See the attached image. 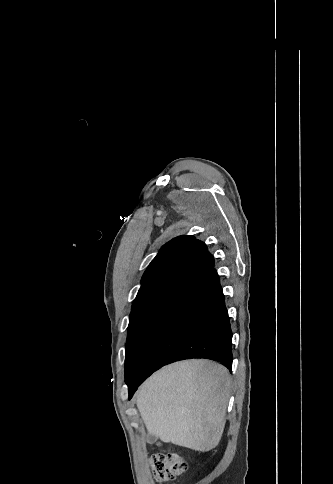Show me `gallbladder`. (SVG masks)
I'll use <instances>...</instances> for the list:
<instances>
[{
    "mask_svg": "<svg viewBox=\"0 0 333 484\" xmlns=\"http://www.w3.org/2000/svg\"><path fill=\"white\" fill-rule=\"evenodd\" d=\"M155 441H156L155 436H153V435H151V434H149V435L147 436V442H148V443H154Z\"/></svg>",
    "mask_w": 333,
    "mask_h": 484,
    "instance_id": "bac80fb5",
    "label": "gallbladder"
}]
</instances>
